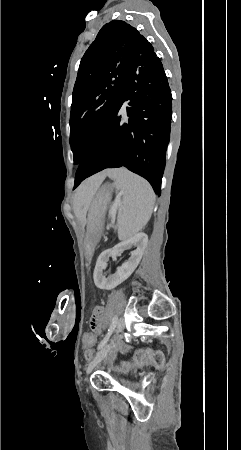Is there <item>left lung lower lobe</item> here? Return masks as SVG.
I'll list each match as a JSON object with an SVG mask.
<instances>
[{
  "label": "left lung lower lobe",
  "instance_id": "1",
  "mask_svg": "<svg viewBox=\"0 0 241 450\" xmlns=\"http://www.w3.org/2000/svg\"><path fill=\"white\" fill-rule=\"evenodd\" d=\"M127 100L128 121L122 123L121 107ZM171 119L170 87L150 45L132 57L116 108L96 131L78 164L75 188L103 169L125 167L144 177L160 195Z\"/></svg>",
  "mask_w": 241,
  "mask_h": 450
}]
</instances>
